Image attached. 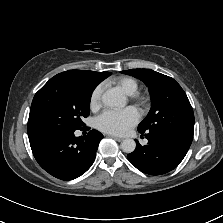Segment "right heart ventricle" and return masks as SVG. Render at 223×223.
I'll return each mask as SVG.
<instances>
[{"label":"right heart ventricle","mask_w":223,"mask_h":223,"mask_svg":"<svg viewBox=\"0 0 223 223\" xmlns=\"http://www.w3.org/2000/svg\"><path fill=\"white\" fill-rule=\"evenodd\" d=\"M117 84L128 95H136L139 91L137 81L131 77H122L118 79Z\"/></svg>","instance_id":"obj_1"}]
</instances>
